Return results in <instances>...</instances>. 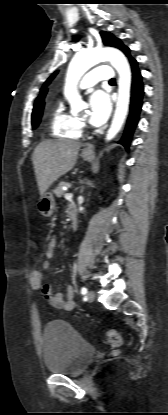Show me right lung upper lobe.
Segmentation results:
<instances>
[{"label": "right lung upper lobe", "instance_id": "1", "mask_svg": "<svg viewBox=\"0 0 168 415\" xmlns=\"http://www.w3.org/2000/svg\"><path fill=\"white\" fill-rule=\"evenodd\" d=\"M46 92L42 93L38 99L36 100V103L34 105V109H33V113L37 112L41 109H43L44 107V97H45Z\"/></svg>", "mask_w": 168, "mask_h": 415}]
</instances>
